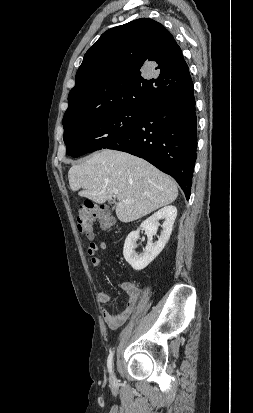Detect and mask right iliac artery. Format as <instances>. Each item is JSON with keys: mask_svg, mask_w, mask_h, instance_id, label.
I'll return each mask as SVG.
<instances>
[{"mask_svg": "<svg viewBox=\"0 0 253 413\" xmlns=\"http://www.w3.org/2000/svg\"><path fill=\"white\" fill-rule=\"evenodd\" d=\"M107 367L110 374L113 372V352H110L107 360Z\"/></svg>", "mask_w": 253, "mask_h": 413, "instance_id": "right-iliac-artery-1", "label": "right iliac artery"}]
</instances>
